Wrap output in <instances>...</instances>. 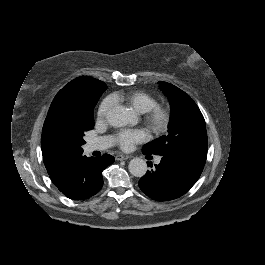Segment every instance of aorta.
<instances>
[{"instance_id":"1","label":"aorta","mask_w":265,"mask_h":265,"mask_svg":"<svg viewBox=\"0 0 265 265\" xmlns=\"http://www.w3.org/2000/svg\"><path fill=\"white\" fill-rule=\"evenodd\" d=\"M106 118L108 123L113 127H123L130 123L127 110L121 106L108 111ZM128 168L133 176L142 177L147 171V164L141 158H133Z\"/></svg>"}]
</instances>
